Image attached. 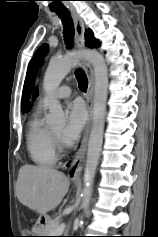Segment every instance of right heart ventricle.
Listing matches in <instances>:
<instances>
[{"label": "right heart ventricle", "instance_id": "e07e8e85", "mask_svg": "<svg viewBox=\"0 0 158 237\" xmlns=\"http://www.w3.org/2000/svg\"><path fill=\"white\" fill-rule=\"evenodd\" d=\"M27 150L30 158L40 166H52L57 160L55 144L51 130L47 128L40 117V108L34 113L26 135Z\"/></svg>", "mask_w": 158, "mask_h": 237}]
</instances>
